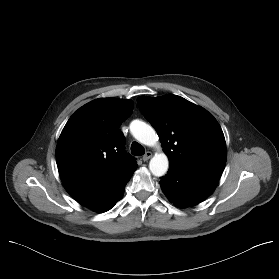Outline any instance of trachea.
<instances>
[{"label": "trachea", "instance_id": "trachea-1", "mask_svg": "<svg viewBox=\"0 0 279 279\" xmlns=\"http://www.w3.org/2000/svg\"><path fill=\"white\" fill-rule=\"evenodd\" d=\"M131 153L135 156H141L145 153V149L141 144L133 142L131 145Z\"/></svg>", "mask_w": 279, "mask_h": 279}]
</instances>
